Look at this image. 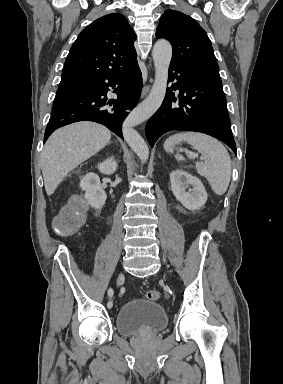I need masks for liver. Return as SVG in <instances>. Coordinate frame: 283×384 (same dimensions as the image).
<instances>
[{
  "instance_id": "obj_1",
  "label": "liver",
  "mask_w": 283,
  "mask_h": 384,
  "mask_svg": "<svg viewBox=\"0 0 283 384\" xmlns=\"http://www.w3.org/2000/svg\"><path fill=\"white\" fill-rule=\"evenodd\" d=\"M111 140V132L94 122H76L56 130L41 154V170L47 196H52L67 174L95 156Z\"/></svg>"
}]
</instances>
